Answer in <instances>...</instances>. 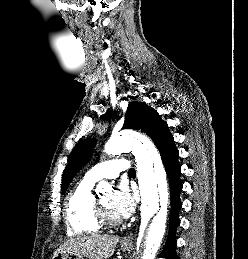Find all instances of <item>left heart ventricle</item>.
Masks as SVG:
<instances>
[{
	"mask_svg": "<svg viewBox=\"0 0 248 259\" xmlns=\"http://www.w3.org/2000/svg\"><path fill=\"white\" fill-rule=\"evenodd\" d=\"M112 196H113L112 193L109 192L107 194L100 196L99 200L101 201V203L104 205V207L107 209L108 213L112 217L118 218V216L115 214L112 208Z\"/></svg>",
	"mask_w": 248,
	"mask_h": 259,
	"instance_id": "b2bd125f",
	"label": "left heart ventricle"
}]
</instances>
